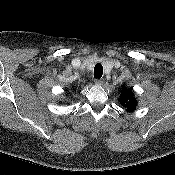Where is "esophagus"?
Returning a JSON list of instances; mask_svg holds the SVG:
<instances>
[{
  "instance_id": "1",
  "label": "esophagus",
  "mask_w": 175,
  "mask_h": 175,
  "mask_svg": "<svg viewBox=\"0 0 175 175\" xmlns=\"http://www.w3.org/2000/svg\"><path fill=\"white\" fill-rule=\"evenodd\" d=\"M94 82L96 85H102L104 83V79H95Z\"/></svg>"
}]
</instances>
